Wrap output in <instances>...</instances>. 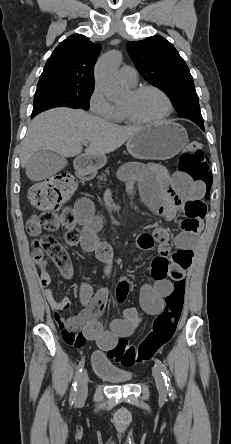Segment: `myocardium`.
Returning <instances> with one entry per match:
<instances>
[{
    "instance_id": "obj_1",
    "label": "myocardium",
    "mask_w": 231,
    "mask_h": 444,
    "mask_svg": "<svg viewBox=\"0 0 231 444\" xmlns=\"http://www.w3.org/2000/svg\"><path fill=\"white\" fill-rule=\"evenodd\" d=\"M148 90L155 91L164 98V100L166 101V104H167V111L165 112V114L163 116H161L160 118L155 119V120H139V119L135 118L127 108L122 106L121 110L124 114L125 119L128 122H130L132 124H136V125H156V124H160V123L166 121L172 115V113L174 111L173 102H172L170 96L163 89H161L157 86H154V85H141V86L132 88L130 90V93L133 96H137L140 93H142L144 91H148Z\"/></svg>"
}]
</instances>
